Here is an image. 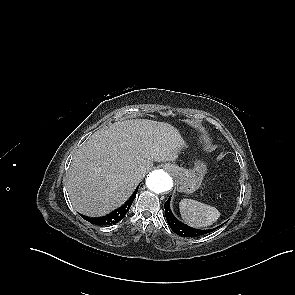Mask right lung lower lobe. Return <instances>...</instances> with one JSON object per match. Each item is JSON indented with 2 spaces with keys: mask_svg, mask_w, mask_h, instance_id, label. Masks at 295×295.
I'll list each match as a JSON object with an SVG mask.
<instances>
[{
  "mask_svg": "<svg viewBox=\"0 0 295 295\" xmlns=\"http://www.w3.org/2000/svg\"><path fill=\"white\" fill-rule=\"evenodd\" d=\"M138 191V187L136 188V190L134 191V193L132 194V196L129 198V200L120 208H118L117 210L111 212L110 214H107L106 216H102V217H87L84 215H81L82 218H84L85 220H87L90 223H93L95 225H112L115 224L117 222H119L120 220H122L126 213L129 211L135 197H136V192Z\"/></svg>",
  "mask_w": 295,
  "mask_h": 295,
  "instance_id": "98d812e1",
  "label": "right lung lower lobe"
}]
</instances>
